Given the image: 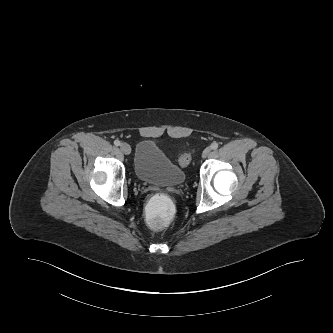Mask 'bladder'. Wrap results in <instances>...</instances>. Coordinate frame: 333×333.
Instances as JSON below:
<instances>
[{
  "label": "bladder",
  "mask_w": 333,
  "mask_h": 333,
  "mask_svg": "<svg viewBox=\"0 0 333 333\" xmlns=\"http://www.w3.org/2000/svg\"><path fill=\"white\" fill-rule=\"evenodd\" d=\"M133 168L140 181L152 185L178 187L186 179L185 171L150 139L137 145Z\"/></svg>",
  "instance_id": "obj_1"
}]
</instances>
